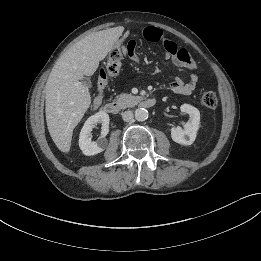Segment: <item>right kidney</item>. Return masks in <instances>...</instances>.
Segmentation results:
<instances>
[{"mask_svg":"<svg viewBox=\"0 0 261 261\" xmlns=\"http://www.w3.org/2000/svg\"><path fill=\"white\" fill-rule=\"evenodd\" d=\"M109 121V115L103 111L97 112L86 120L79 136V147L84 155L92 156L104 151L107 146L105 136L109 132ZM97 123L102 124L101 136L93 142L91 131Z\"/></svg>","mask_w":261,"mask_h":261,"instance_id":"right-kidney-1","label":"right kidney"}]
</instances>
